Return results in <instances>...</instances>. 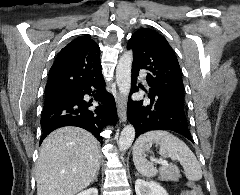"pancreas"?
Returning a JSON list of instances; mask_svg holds the SVG:
<instances>
[{"instance_id":"pancreas-1","label":"pancreas","mask_w":240,"mask_h":195,"mask_svg":"<svg viewBox=\"0 0 240 195\" xmlns=\"http://www.w3.org/2000/svg\"><path fill=\"white\" fill-rule=\"evenodd\" d=\"M179 177H181V173L177 165L160 167L159 179H162V181H179Z\"/></svg>"}]
</instances>
